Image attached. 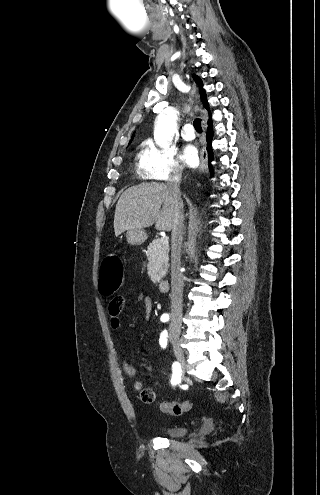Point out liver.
Listing matches in <instances>:
<instances>
[{"mask_svg":"<svg viewBox=\"0 0 320 495\" xmlns=\"http://www.w3.org/2000/svg\"><path fill=\"white\" fill-rule=\"evenodd\" d=\"M180 203L167 185L143 183L127 189L119 198L114 216L116 237L129 229L155 228L170 231Z\"/></svg>","mask_w":320,"mask_h":495,"instance_id":"6515ba94","label":"liver"}]
</instances>
